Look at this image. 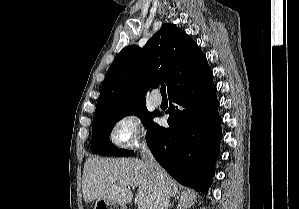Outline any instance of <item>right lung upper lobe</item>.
Returning a JSON list of instances; mask_svg holds the SVG:
<instances>
[{
    "label": "right lung upper lobe",
    "instance_id": "right-lung-upper-lobe-1",
    "mask_svg": "<svg viewBox=\"0 0 299 209\" xmlns=\"http://www.w3.org/2000/svg\"><path fill=\"white\" fill-rule=\"evenodd\" d=\"M210 70L198 45L181 29L163 24L139 48L127 46L108 69L95 115L145 104L146 90L165 82L168 93L189 79L207 76Z\"/></svg>",
    "mask_w": 299,
    "mask_h": 209
}]
</instances>
